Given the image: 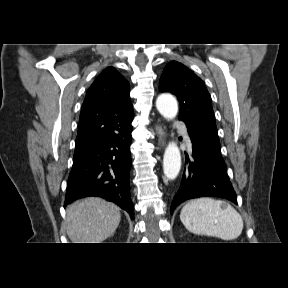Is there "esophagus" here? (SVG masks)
<instances>
[{
    "label": "esophagus",
    "mask_w": 288,
    "mask_h": 288,
    "mask_svg": "<svg viewBox=\"0 0 288 288\" xmlns=\"http://www.w3.org/2000/svg\"><path fill=\"white\" fill-rule=\"evenodd\" d=\"M156 131H157V134H158V137H159V144H160L161 146H163V145L165 144V140H166L165 131H164V129H163L161 126H159V125L156 126Z\"/></svg>",
    "instance_id": "obj_1"
}]
</instances>
